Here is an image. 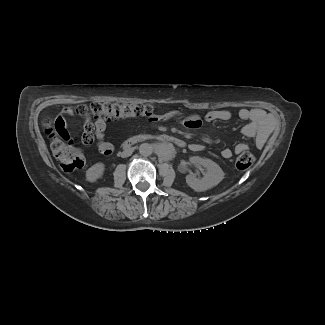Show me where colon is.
<instances>
[{
    "label": "colon",
    "mask_w": 325,
    "mask_h": 325,
    "mask_svg": "<svg viewBox=\"0 0 325 325\" xmlns=\"http://www.w3.org/2000/svg\"><path fill=\"white\" fill-rule=\"evenodd\" d=\"M76 113L82 116H93L106 120H119L128 118L148 117L154 114V108L144 104H119V103H92L89 107L78 106ZM48 134L51 137V149L58 160L60 167L65 172L82 168L85 162L83 152L60 139L55 129L47 122ZM254 156L248 151L241 152L236 159V167L246 170L254 163Z\"/></svg>",
    "instance_id": "1"
}]
</instances>
